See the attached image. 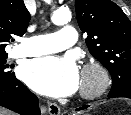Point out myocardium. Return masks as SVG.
Wrapping results in <instances>:
<instances>
[{"mask_svg": "<svg viewBox=\"0 0 131 115\" xmlns=\"http://www.w3.org/2000/svg\"><path fill=\"white\" fill-rule=\"evenodd\" d=\"M110 74L105 66L97 61L86 63L82 69L80 95L84 99L101 96L110 86Z\"/></svg>", "mask_w": 131, "mask_h": 115, "instance_id": "myocardium-1", "label": "myocardium"}]
</instances>
